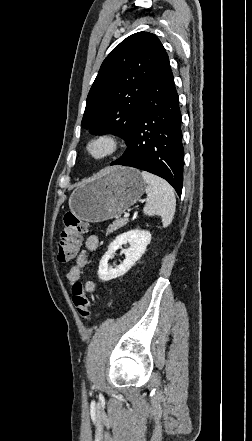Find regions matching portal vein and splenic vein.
Segmentation results:
<instances>
[{"label": "portal vein and splenic vein", "mask_w": 252, "mask_h": 441, "mask_svg": "<svg viewBox=\"0 0 252 441\" xmlns=\"http://www.w3.org/2000/svg\"><path fill=\"white\" fill-rule=\"evenodd\" d=\"M129 216H130V214H129V213H125V214H124V218H125V219H128V218H129Z\"/></svg>", "instance_id": "portal-vein-and-splenic-vein-1"}]
</instances>
